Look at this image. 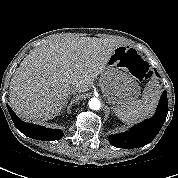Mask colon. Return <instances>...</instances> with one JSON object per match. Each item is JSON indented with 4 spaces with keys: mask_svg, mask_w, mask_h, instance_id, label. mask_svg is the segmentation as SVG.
I'll list each match as a JSON object with an SVG mask.
<instances>
[{
    "mask_svg": "<svg viewBox=\"0 0 178 178\" xmlns=\"http://www.w3.org/2000/svg\"><path fill=\"white\" fill-rule=\"evenodd\" d=\"M130 71L139 80H146L150 77V68L148 64L142 60L135 62Z\"/></svg>",
    "mask_w": 178,
    "mask_h": 178,
    "instance_id": "1",
    "label": "colon"
}]
</instances>
